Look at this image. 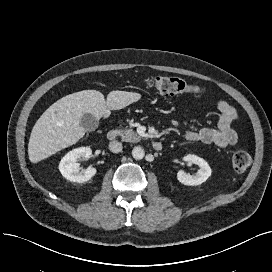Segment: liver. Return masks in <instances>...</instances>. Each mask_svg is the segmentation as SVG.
Segmentation results:
<instances>
[{
    "label": "liver",
    "instance_id": "6515ba94",
    "mask_svg": "<svg viewBox=\"0 0 272 272\" xmlns=\"http://www.w3.org/2000/svg\"><path fill=\"white\" fill-rule=\"evenodd\" d=\"M141 94L111 91L105 100L97 90H83L69 94L52 104L35 123L28 144L32 163L77 143L84 135L81 126L83 114H92L97 120L108 117L111 110H120L140 100Z\"/></svg>",
    "mask_w": 272,
    "mask_h": 272
}]
</instances>
